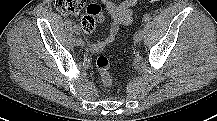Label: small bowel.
<instances>
[{"instance_id": "c3829d8e", "label": "small bowel", "mask_w": 217, "mask_h": 121, "mask_svg": "<svg viewBox=\"0 0 217 121\" xmlns=\"http://www.w3.org/2000/svg\"><path fill=\"white\" fill-rule=\"evenodd\" d=\"M111 16V23L106 37L96 43L91 44L94 52H100L105 47L117 40L119 29L122 25L133 23V9L137 6L138 0H122L114 2L112 0H101Z\"/></svg>"}]
</instances>
